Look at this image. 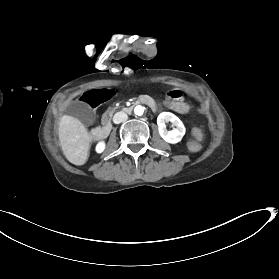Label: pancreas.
Returning a JSON list of instances; mask_svg holds the SVG:
<instances>
[{
    "label": "pancreas",
    "mask_w": 279,
    "mask_h": 279,
    "mask_svg": "<svg viewBox=\"0 0 279 279\" xmlns=\"http://www.w3.org/2000/svg\"><path fill=\"white\" fill-rule=\"evenodd\" d=\"M115 110H116V107L108 108L107 111L103 113V116H110L111 117L113 115V113L115 112Z\"/></svg>",
    "instance_id": "cf45deb5"
}]
</instances>
